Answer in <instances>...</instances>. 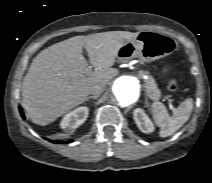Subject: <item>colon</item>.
Returning a JSON list of instances; mask_svg holds the SVG:
<instances>
[{"mask_svg": "<svg viewBox=\"0 0 212 183\" xmlns=\"http://www.w3.org/2000/svg\"><path fill=\"white\" fill-rule=\"evenodd\" d=\"M177 87H178V83H177V81H176L175 79H172V80L169 82V84H168V89H169L170 91L176 90Z\"/></svg>", "mask_w": 212, "mask_h": 183, "instance_id": "obj_1", "label": "colon"}]
</instances>
